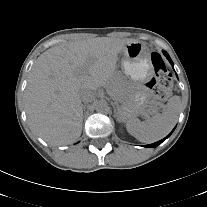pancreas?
<instances>
[{
    "instance_id": "cf45deb5",
    "label": "pancreas",
    "mask_w": 207,
    "mask_h": 207,
    "mask_svg": "<svg viewBox=\"0 0 207 207\" xmlns=\"http://www.w3.org/2000/svg\"><path fill=\"white\" fill-rule=\"evenodd\" d=\"M111 95H113L117 100L121 99V91L117 88L116 84L111 85Z\"/></svg>"
}]
</instances>
